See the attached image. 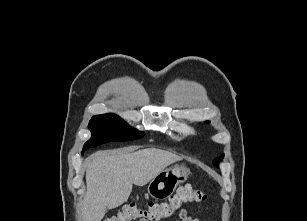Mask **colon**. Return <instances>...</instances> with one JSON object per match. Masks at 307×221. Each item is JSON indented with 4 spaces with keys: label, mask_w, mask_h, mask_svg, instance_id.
Wrapping results in <instances>:
<instances>
[{
    "label": "colon",
    "mask_w": 307,
    "mask_h": 221,
    "mask_svg": "<svg viewBox=\"0 0 307 221\" xmlns=\"http://www.w3.org/2000/svg\"><path fill=\"white\" fill-rule=\"evenodd\" d=\"M206 199L205 192L187 184L180 186L166 201H148L144 204L131 202L124 205L117 215L104 221H162L181 210L183 205L203 202Z\"/></svg>",
    "instance_id": "5ec220e1"
}]
</instances>
